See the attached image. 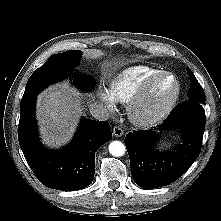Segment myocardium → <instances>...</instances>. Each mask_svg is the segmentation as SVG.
<instances>
[{"label": "myocardium", "mask_w": 221, "mask_h": 221, "mask_svg": "<svg viewBox=\"0 0 221 221\" xmlns=\"http://www.w3.org/2000/svg\"><path fill=\"white\" fill-rule=\"evenodd\" d=\"M170 77L173 79L175 88L171 97L157 110L149 114H142L140 107L146 98L151 87L160 79ZM181 91L178 78L171 72L161 71L147 80L139 87L135 95L127 105V115L129 120L138 127H150L163 120L175 106Z\"/></svg>", "instance_id": "1"}]
</instances>
